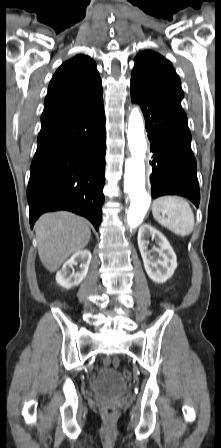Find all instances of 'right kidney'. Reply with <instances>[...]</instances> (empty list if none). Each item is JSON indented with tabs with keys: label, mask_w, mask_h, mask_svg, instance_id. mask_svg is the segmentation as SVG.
<instances>
[{
	"label": "right kidney",
	"mask_w": 221,
	"mask_h": 448,
	"mask_svg": "<svg viewBox=\"0 0 221 448\" xmlns=\"http://www.w3.org/2000/svg\"><path fill=\"white\" fill-rule=\"evenodd\" d=\"M91 258V252L87 249L76 252L57 272L56 282L66 289L79 285L88 273ZM78 262H81L80 270L75 273L73 265H77Z\"/></svg>",
	"instance_id": "obj_1"
}]
</instances>
